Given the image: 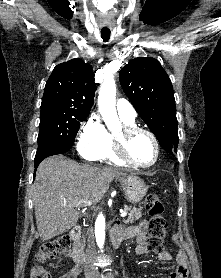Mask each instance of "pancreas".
Returning <instances> with one entry per match:
<instances>
[{
	"instance_id": "obj_1",
	"label": "pancreas",
	"mask_w": 221,
	"mask_h": 278,
	"mask_svg": "<svg viewBox=\"0 0 221 278\" xmlns=\"http://www.w3.org/2000/svg\"><path fill=\"white\" fill-rule=\"evenodd\" d=\"M126 211H129L128 217L124 222L126 224H132L134 221L138 220L142 216V207L140 206L139 208H133L131 209L130 207H125Z\"/></svg>"
}]
</instances>
